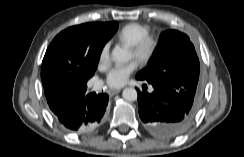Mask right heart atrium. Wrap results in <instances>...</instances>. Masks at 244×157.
Returning a JSON list of instances; mask_svg holds the SVG:
<instances>
[{
	"mask_svg": "<svg viewBox=\"0 0 244 157\" xmlns=\"http://www.w3.org/2000/svg\"><path fill=\"white\" fill-rule=\"evenodd\" d=\"M110 64V43H105L98 56V68L99 69H105Z\"/></svg>",
	"mask_w": 244,
	"mask_h": 157,
	"instance_id": "d8ad5b80",
	"label": "right heart atrium"
}]
</instances>
